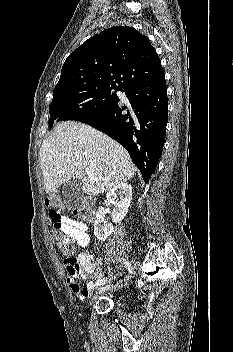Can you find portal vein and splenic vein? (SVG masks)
<instances>
[{"instance_id": "obj_1", "label": "portal vein and splenic vein", "mask_w": 233, "mask_h": 352, "mask_svg": "<svg viewBox=\"0 0 233 352\" xmlns=\"http://www.w3.org/2000/svg\"><path fill=\"white\" fill-rule=\"evenodd\" d=\"M85 172L87 175H92L93 174V169L91 167H86Z\"/></svg>"}]
</instances>
